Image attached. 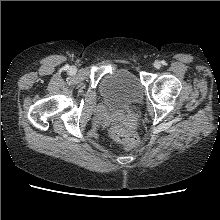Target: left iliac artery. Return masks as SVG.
<instances>
[{
    "label": "left iliac artery",
    "instance_id": "left-iliac-artery-1",
    "mask_svg": "<svg viewBox=\"0 0 220 220\" xmlns=\"http://www.w3.org/2000/svg\"><path fill=\"white\" fill-rule=\"evenodd\" d=\"M161 63L164 65V64H165V61H162Z\"/></svg>",
    "mask_w": 220,
    "mask_h": 220
}]
</instances>
